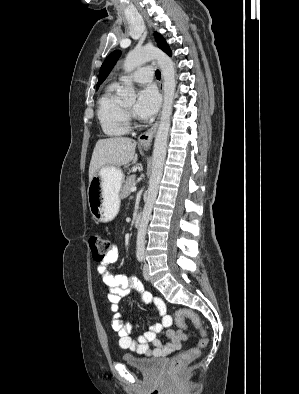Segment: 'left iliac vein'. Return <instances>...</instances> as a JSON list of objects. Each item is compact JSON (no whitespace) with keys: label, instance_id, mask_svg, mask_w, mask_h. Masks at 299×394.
<instances>
[{"label":"left iliac vein","instance_id":"4c4485c4","mask_svg":"<svg viewBox=\"0 0 299 394\" xmlns=\"http://www.w3.org/2000/svg\"><path fill=\"white\" fill-rule=\"evenodd\" d=\"M143 276H144V278H145L146 280H149V279H150V275H149V266H148L147 263H145V264L143 265Z\"/></svg>","mask_w":299,"mask_h":394}]
</instances>
